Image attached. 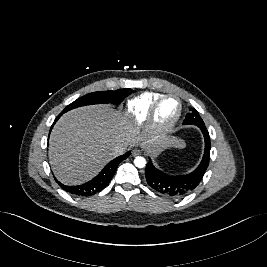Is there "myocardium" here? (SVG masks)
<instances>
[{"instance_id": "obj_1", "label": "myocardium", "mask_w": 267, "mask_h": 267, "mask_svg": "<svg viewBox=\"0 0 267 267\" xmlns=\"http://www.w3.org/2000/svg\"><path fill=\"white\" fill-rule=\"evenodd\" d=\"M168 98H175L178 101L179 109H178V113L176 117L171 123H169L166 126H161L156 121V115H157V111L161 103ZM182 112H183V103H182L181 98L178 95L173 94V93L161 95L158 99L155 100V102L152 104L149 110L147 119L145 121V127H146L147 132L153 136H158V137L169 134L170 132L174 130V128L179 123L181 116H182Z\"/></svg>"}]
</instances>
